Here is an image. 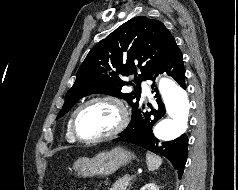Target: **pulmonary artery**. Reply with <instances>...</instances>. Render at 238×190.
Segmentation results:
<instances>
[{
	"instance_id": "pulmonary-artery-1",
	"label": "pulmonary artery",
	"mask_w": 238,
	"mask_h": 190,
	"mask_svg": "<svg viewBox=\"0 0 238 190\" xmlns=\"http://www.w3.org/2000/svg\"><path fill=\"white\" fill-rule=\"evenodd\" d=\"M142 94L143 96H150L149 86L145 82L142 83Z\"/></svg>"
}]
</instances>
